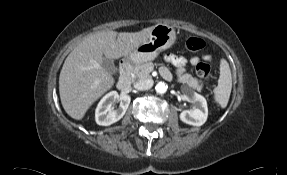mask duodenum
<instances>
[{
    "mask_svg": "<svg viewBox=\"0 0 287 175\" xmlns=\"http://www.w3.org/2000/svg\"><path fill=\"white\" fill-rule=\"evenodd\" d=\"M131 61L126 59L123 60L120 64L119 68V81L117 84V87L119 90H126L131 85V71H132V65Z\"/></svg>",
    "mask_w": 287,
    "mask_h": 175,
    "instance_id": "410a0bca",
    "label": "duodenum"
}]
</instances>
